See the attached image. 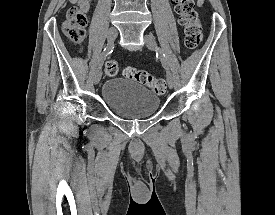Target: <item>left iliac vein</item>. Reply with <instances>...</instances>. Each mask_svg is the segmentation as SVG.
I'll use <instances>...</instances> for the list:
<instances>
[{"label": "left iliac vein", "mask_w": 275, "mask_h": 215, "mask_svg": "<svg viewBox=\"0 0 275 215\" xmlns=\"http://www.w3.org/2000/svg\"><path fill=\"white\" fill-rule=\"evenodd\" d=\"M144 38H145V44H146L147 48L150 50H155L156 49V41H155L154 36H152L150 34H146ZM166 78H167L169 87L173 88L174 87V78H173L172 73L169 70H167Z\"/></svg>", "instance_id": "4c4485c4"}]
</instances>
